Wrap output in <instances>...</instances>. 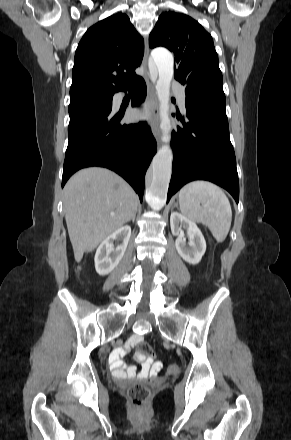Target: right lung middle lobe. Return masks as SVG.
<instances>
[{"instance_id": "right-lung-middle-lobe-1", "label": "right lung middle lobe", "mask_w": 291, "mask_h": 440, "mask_svg": "<svg viewBox=\"0 0 291 440\" xmlns=\"http://www.w3.org/2000/svg\"><path fill=\"white\" fill-rule=\"evenodd\" d=\"M94 98H102V97H87V98H83V99H94Z\"/></svg>"}]
</instances>
